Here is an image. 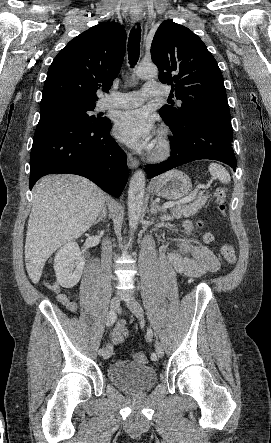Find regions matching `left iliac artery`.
<instances>
[{"mask_svg": "<svg viewBox=\"0 0 271 443\" xmlns=\"http://www.w3.org/2000/svg\"><path fill=\"white\" fill-rule=\"evenodd\" d=\"M152 338H153V332H152V329H151V328H148L146 339H147L148 342H151V341H152ZM151 360H153V361H156V360H157V356H156L155 353H152V354H151Z\"/></svg>", "mask_w": 271, "mask_h": 443, "instance_id": "left-iliac-artery-1", "label": "left iliac artery"}]
</instances>
